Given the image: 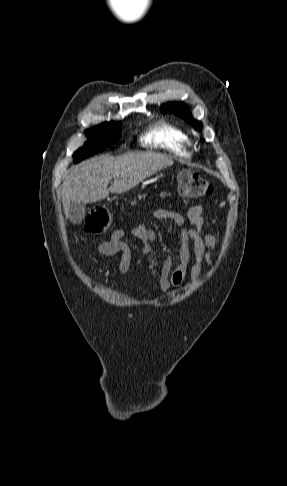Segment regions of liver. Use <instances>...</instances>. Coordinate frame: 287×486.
I'll list each match as a JSON object with an SVG mask.
<instances>
[{
	"mask_svg": "<svg viewBox=\"0 0 287 486\" xmlns=\"http://www.w3.org/2000/svg\"><path fill=\"white\" fill-rule=\"evenodd\" d=\"M173 165V160L151 152L127 153L118 157L99 156L83 162L65 174L62 203L66 219L72 202L94 203L109 193L126 192L162 168ZM114 182L108 188L109 181Z\"/></svg>",
	"mask_w": 287,
	"mask_h": 486,
	"instance_id": "liver-1",
	"label": "liver"
}]
</instances>
